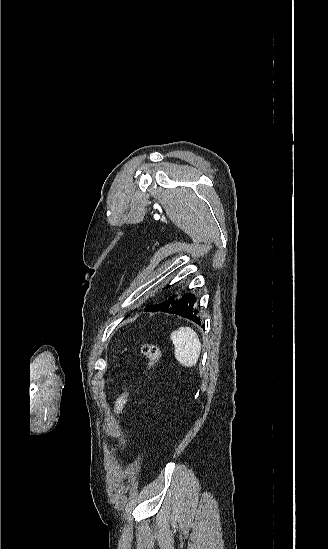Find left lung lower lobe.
<instances>
[{
  "label": "left lung lower lobe",
  "instance_id": "left-lung-lower-lobe-1",
  "mask_svg": "<svg viewBox=\"0 0 328 549\" xmlns=\"http://www.w3.org/2000/svg\"><path fill=\"white\" fill-rule=\"evenodd\" d=\"M196 301V298L192 294H186L184 295L180 300L178 299H172L171 301L165 300L161 304L158 305H151L145 308V311L150 312H166V313H172L176 314L188 319H191L192 321L196 322L197 324H200V320L196 316V311L193 310V304Z\"/></svg>",
  "mask_w": 328,
  "mask_h": 549
}]
</instances>
